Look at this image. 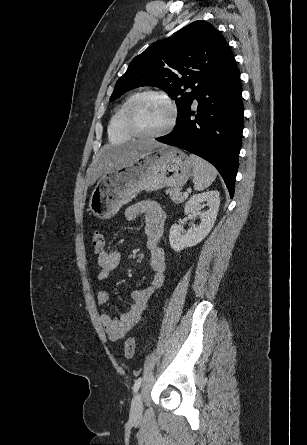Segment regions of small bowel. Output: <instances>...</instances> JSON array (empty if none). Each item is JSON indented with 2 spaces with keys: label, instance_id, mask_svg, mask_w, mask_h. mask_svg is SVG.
I'll return each mask as SVG.
<instances>
[{
  "label": "small bowel",
  "instance_id": "obj_1",
  "mask_svg": "<svg viewBox=\"0 0 307 445\" xmlns=\"http://www.w3.org/2000/svg\"><path fill=\"white\" fill-rule=\"evenodd\" d=\"M140 216L145 217L146 246L150 252V284L146 287L135 289L132 292L133 304L121 316L115 318L106 312L100 315V322L111 341L123 339L141 321L147 310L150 297L155 290L162 286L165 278V252L160 245V240L163 234L166 214L161 205L153 200L137 202L125 210V217L129 221H134ZM120 261L121 254L118 251L105 249L100 252L98 255V265L100 267L98 280L101 283H106L110 274L119 266ZM108 301V291L101 289L97 293L98 304L106 305Z\"/></svg>",
  "mask_w": 307,
  "mask_h": 445
}]
</instances>
